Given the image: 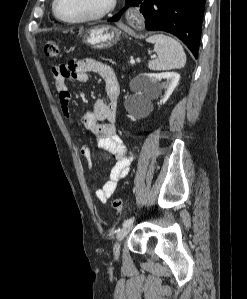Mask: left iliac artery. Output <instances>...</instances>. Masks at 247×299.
<instances>
[{
    "mask_svg": "<svg viewBox=\"0 0 247 299\" xmlns=\"http://www.w3.org/2000/svg\"><path fill=\"white\" fill-rule=\"evenodd\" d=\"M134 219H135L134 217H131V218L125 220L124 223H123V226L132 224L134 222Z\"/></svg>",
    "mask_w": 247,
    "mask_h": 299,
    "instance_id": "44dca946",
    "label": "left iliac artery"
}]
</instances>
